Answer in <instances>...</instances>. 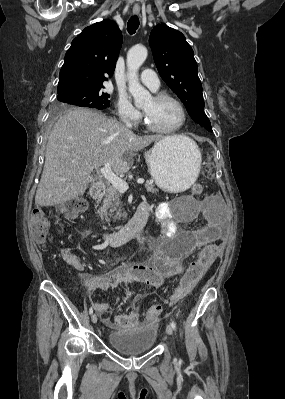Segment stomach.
<instances>
[{"instance_id":"0dacf381","label":"stomach","mask_w":285,"mask_h":399,"mask_svg":"<svg viewBox=\"0 0 285 399\" xmlns=\"http://www.w3.org/2000/svg\"><path fill=\"white\" fill-rule=\"evenodd\" d=\"M145 159L157 186L169 193L188 189L196 181L202 161L197 144L185 136L158 141Z\"/></svg>"}]
</instances>
